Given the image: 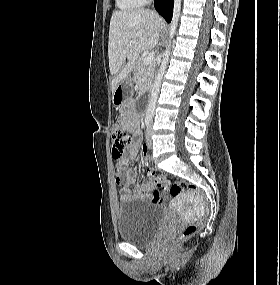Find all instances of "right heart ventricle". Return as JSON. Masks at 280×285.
Listing matches in <instances>:
<instances>
[{
    "instance_id": "e07e8e85",
    "label": "right heart ventricle",
    "mask_w": 280,
    "mask_h": 285,
    "mask_svg": "<svg viewBox=\"0 0 280 285\" xmlns=\"http://www.w3.org/2000/svg\"><path fill=\"white\" fill-rule=\"evenodd\" d=\"M148 0H116L121 10L130 11L143 6Z\"/></svg>"
}]
</instances>
